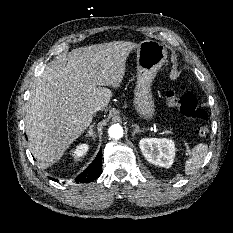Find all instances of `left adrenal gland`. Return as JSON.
Wrapping results in <instances>:
<instances>
[{"label": "left adrenal gland", "instance_id": "left-adrenal-gland-1", "mask_svg": "<svg viewBox=\"0 0 233 233\" xmlns=\"http://www.w3.org/2000/svg\"><path fill=\"white\" fill-rule=\"evenodd\" d=\"M132 126L135 127V129H134V131H133V133H132L133 136H134L136 133L143 132V130H141L140 127H139L138 125L133 124Z\"/></svg>", "mask_w": 233, "mask_h": 233}]
</instances>
